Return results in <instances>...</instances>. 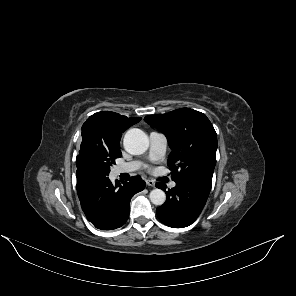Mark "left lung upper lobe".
<instances>
[{
  "instance_id": "5c2ea615",
  "label": "left lung upper lobe",
  "mask_w": 296,
  "mask_h": 296,
  "mask_svg": "<svg viewBox=\"0 0 296 296\" xmlns=\"http://www.w3.org/2000/svg\"><path fill=\"white\" fill-rule=\"evenodd\" d=\"M144 120L162 131L172 152L168 165L176 183L212 182L216 164L217 135L205 114L182 108Z\"/></svg>"
}]
</instances>
